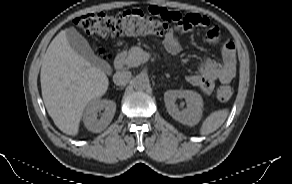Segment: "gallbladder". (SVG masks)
Instances as JSON below:
<instances>
[{"mask_svg": "<svg viewBox=\"0 0 292 184\" xmlns=\"http://www.w3.org/2000/svg\"><path fill=\"white\" fill-rule=\"evenodd\" d=\"M66 37L71 48L88 60L93 66L103 71L108 69L107 62L95 55L88 41L75 28L71 27L67 29Z\"/></svg>", "mask_w": 292, "mask_h": 184, "instance_id": "bac80fb5", "label": "gallbladder"}]
</instances>
